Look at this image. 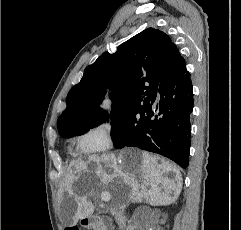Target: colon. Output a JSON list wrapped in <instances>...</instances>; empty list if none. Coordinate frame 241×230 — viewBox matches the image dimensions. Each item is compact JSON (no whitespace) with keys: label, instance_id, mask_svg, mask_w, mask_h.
I'll use <instances>...</instances> for the list:
<instances>
[{"label":"colon","instance_id":"obj_1","mask_svg":"<svg viewBox=\"0 0 241 230\" xmlns=\"http://www.w3.org/2000/svg\"><path fill=\"white\" fill-rule=\"evenodd\" d=\"M67 230H79V229L76 227H72V228H68Z\"/></svg>","mask_w":241,"mask_h":230}]
</instances>
